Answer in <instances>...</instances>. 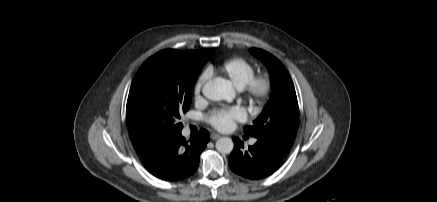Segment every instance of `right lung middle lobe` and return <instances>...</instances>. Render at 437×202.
<instances>
[{
    "label": "right lung middle lobe",
    "instance_id": "1",
    "mask_svg": "<svg viewBox=\"0 0 437 202\" xmlns=\"http://www.w3.org/2000/svg\"><path fill=\"white\" fill-rule=\"evenodd\" d=\"M213 55L189 62L177 50L148 58L136 73L129 92L126 118L132 139L158 146L180 133L181 115L191 105V91L202 67Z\"/></svg>",
    "mask_w": 437,
    "mask_h": 202
}]
</instances>
